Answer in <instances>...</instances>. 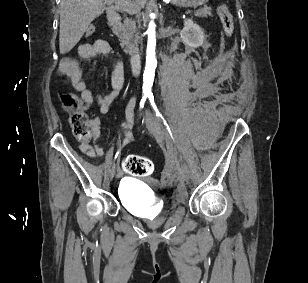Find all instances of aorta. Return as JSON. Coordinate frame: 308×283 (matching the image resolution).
Segmentation results:
<instances>
[{
    "mask_svg": "<svg viewBox=\"0 0 308 283\" xmlns=\"http://www.w3.org/2000/svg\"><path fill=\"white\" fill-rule=\"evenodd\" d=\"M148 44H147V55H146V66L144 70L143 86L145 88H151L154 81L155 69L157 66V60L155 58V46H156V31L155 23L151 21L147 30Z\"/></svg>",
    "mask_w": 308,
    "mask_h": 283,
    "instance_id": "1",
    "label": "aorta"
}]
</instances>
